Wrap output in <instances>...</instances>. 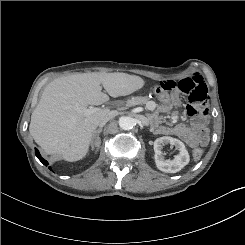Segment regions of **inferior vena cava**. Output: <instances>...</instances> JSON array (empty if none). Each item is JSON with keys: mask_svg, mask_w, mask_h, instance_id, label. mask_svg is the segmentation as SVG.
I'll return each instance as SVG.
<instances>
[{"mask_svg": "<svg viewBox=\"0 0 245 245\" xmlns=\"http://www.w3.org/2000/svg\"><path fill=\"white\" fill-rule=\"evenodd\" d=\"M114 112H109L99 123L100 127H103L110 119L114 117Z\"/></svg>", "mask_w": 245, "mask_h": 245, "instance_id": "obj_1", "label": "inferior vena cava"}]
</instances>
